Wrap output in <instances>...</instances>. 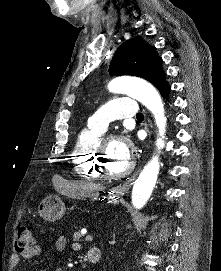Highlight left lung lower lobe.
Masks as SVG:
<instances>
[{"mask_svg": "<svg viewBox=\"0 0 221 271\" xmlns=\"http://www.w3.org/2000/svg\"><path fill=\"white\" fill-rule=\"evenodd\" d=\"M160 93L163 97L168 99V93L170 91V86L168 84L164 85L162 88L159 89Z\"/></svg>", "mask_w": 221, "mask_h": 271, "instance_id": "1", "label": "left lung lower lobe"}]
</instances>
